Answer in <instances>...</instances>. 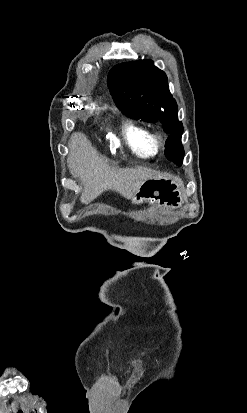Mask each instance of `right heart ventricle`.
I'll list each match as a JSON object with an SVG mask.
<instances>
[{
	"label": "right heart ventricle",
	"instance_id": "obj_1",
	"mask_svg": "<svg viewBox=\"0 0 247 413\" xmlns=\"http://www.w3.org/2000/svg\"><path fill=\"white\" fill-rule=\"evenodd\" d=\"M147 132L144 128L137 127L131 123H127L123 127L126 143L138 157L144 159L156 156V151L148 144Z\"/></svg>",
	"mask_w": 247,
	"mask_h": 413
}]
</instances>
